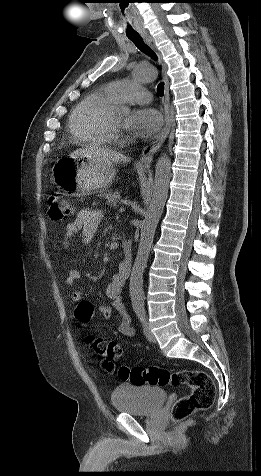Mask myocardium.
<instances>
[{"instance_id":"myocardium-1","label":"myocardium","mask_w":261,"mask_h":476,"mask_svg":"<svg viewBox=\"0 0 261 476\" xmlns=\"http://www.w3.org/2000/svg\"><path fill=\"white\" fill-rule=\"evenodd\" d=\"M110 125H111V127H112L114 130H118V129L121 128L120 125H118V124H116V123L114 122L112 116L110 117Z\"/></svg>"}]
</instances>
